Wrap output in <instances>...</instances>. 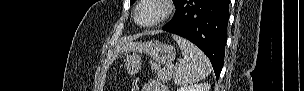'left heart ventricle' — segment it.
I'll use <instances>...</instances> for the list:
<instances>
[{"label": "left heart ventricle", "instance_id": "left-heart-ventricle-1", "mask_svg": "<svg viewBox=\"0 0 304 91\" xmlns=\"http://www.w3.org/2000/svg\"><path fill=\"white\" fill-rule=\"evenodd\" d=\"M162 13V7L156 2L144 3L138 11V20L140 23H149L157 19Z\"/></svg>", "mask_w": 304, "mask_h": 91}]
</instances>
